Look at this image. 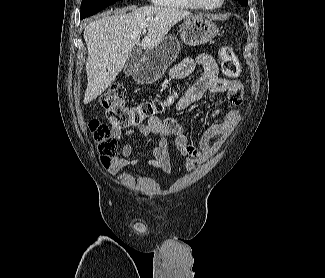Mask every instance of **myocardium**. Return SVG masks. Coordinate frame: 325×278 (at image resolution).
<instances>
[{"mask_svg":"<svg viewBox=\"0 0 325 278\" xmlns=\"http://www.w3.org/2000/svg\"><path fill=\"white\" fill-rule=\"evenodd\" d=\"M190 1L198 9L206 10V11H213V10H217V9L221 8L224 5L226 0H221L217 5H214V6L203 5L199 0H190Z\"/></svg>","mask_w":325,"mask_h":278,"instance_id":"f54148a6","label":"myocardium"}]
</instances>
